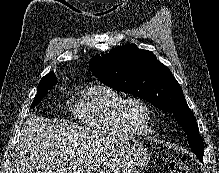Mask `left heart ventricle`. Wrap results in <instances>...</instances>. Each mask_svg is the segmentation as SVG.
Here are the masks:
<instances>
[{
  "label": "left heart ventricle",
  "mask_w": 219,
  "mask_h": 173,
  "mask_svg": "<svg viewBox=\"0 0 219 173\" xmlns=\"http://www.w3.org/2000/svg\"><path fill=\"white\" fill-rule=\"evenodd\" d=\"M128 115L130 120L140 129L145 130L148 122V114L146 110L138 105L132 104L128 108Z\"/></svg>",
  "instance_id": "1"
}]
</instances>
